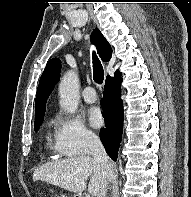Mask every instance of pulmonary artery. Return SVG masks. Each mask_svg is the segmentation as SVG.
I'll list each match as a JSON object with an SVG mask.
<instances>
[{"label":"pulmonary artery","mask_w":191,"mask_h":197,"mask_svg":"<svg viewBox=\"0 0 191 197\" xmlns=\"http://www.w3.org/2000/svg\"><path fill=\"white\" fill-rule=\"evenodd\" d=\"M82 96L86 103H94L97 99L95 90L92 87H86Z\"/></svg>","instance_id":"obj_1"}]
</instances>
